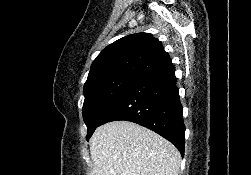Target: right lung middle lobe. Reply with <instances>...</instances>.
I'll return each mask as SVG.
<instances>
[{"label":"right lung middle lobe","mask_w":251,"mask_h":175,"mask_svg":"<svg viewBox=\"0 0 251 175\" xmlns=\"http://www.w3.org/2000/svg\"><path fill=\"white\" fill-rule=\"evenodd\" d=\"M140 79L120 75L84 86L83 118L87 126V141L99 126L102 115L131 85Z\"/></svg>","instance_id":"dd1d6c3e"}]
</instances>
